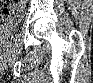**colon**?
Wrapping results in <instances>:
<instances>
[{
  "mask_svg": "<svg viewBox=\"0 0 93 83\" xmlns=\"http://www.w3.org/2000/svg\"><path fill=\"white\" fill-rule=\"evenodd\" d=\"M11 5L3 6L1 9V16L3 21L9 20L16 12V8L13 5L23 4V1H6Z\"/></svg>",
  "mask_w": 93,
  "mask_h": 83,
  "instance_id": "colon-1",
  "label": "colon"
}]
</instances>
